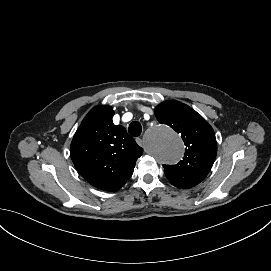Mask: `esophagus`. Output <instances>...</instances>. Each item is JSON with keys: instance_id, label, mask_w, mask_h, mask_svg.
Here are the masks:
<instances>
[{"instance_id": "obj_1", "label": "esophagus", "mask_w": 271, "mask_h": 271, "mask_svg": "<svg viewBox=\"0 0 271 271\" xmlns=\"http://www.w3.org/2000/svg\"><path fill=\"white\" fill-rule=\"evenodd\" d=\"M144 141H145V136L143 134H138L136 136V142L138 143L139 146H141Z\"/></svg>"}]
</instances>
